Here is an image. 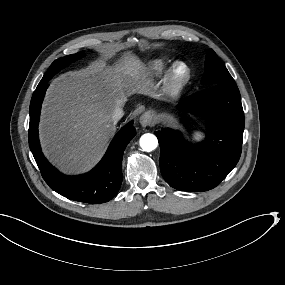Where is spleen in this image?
Here are the masks:
<instances>
[{"label": "spleen", "instance_id": "obj_1", "mask_svg": "<svg viewBox=\"0 0 285 285\" xmlns=\"http://www.w3.org/2000/svg\"><path fill=\"white\" fill-rule=\"evenodd\" d=\"M203 138V134L201 132H195L194 133V139L195 140H200Z\"/></svg>", "mask_w": 285, "mask_h": 285}]
</instances>
